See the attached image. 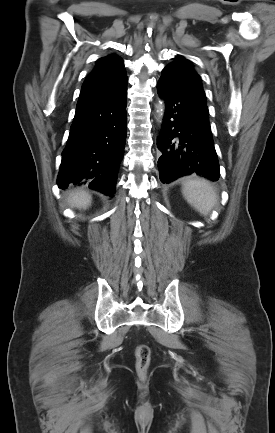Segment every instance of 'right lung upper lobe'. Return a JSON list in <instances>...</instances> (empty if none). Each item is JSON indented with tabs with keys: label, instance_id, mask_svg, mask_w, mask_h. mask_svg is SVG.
<instances>
[{
	"label": "right lung upper lobe",
	"instance_id": "1",
	"mask_svg": "<svg viewBox=\"0 0 275 433\" xmlns=\"http://www.w3.org/2000/svg\"><path fill=\"white\" fill-rule=\"evenodd\" d=\"M127 85L123 60L116 55H108L97 60L93 71L87 76L79 98Z\"/></svg>",
	"mask_w": 275,
	"mask_h": 433
}]
</instances>
